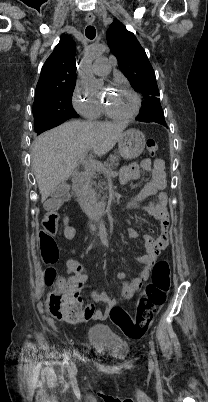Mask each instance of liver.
I'll use <instances>...</instances> for the list:
<instances>
[{"instance_id": "6515ba94", "label": "liver", "mask_w": 208, "mask_h": 402, "mask_svg": "<svg viewBox=\"0 0 208 402\" xmlns=\"http://www.w3.org/2000/svg\"><path fill=\"white\" fill-rule=\"evenodd\" d=\"M125 128L127 124L74 120L35 138L32 168L41 202L72 176L80 154L93 150L97 156H104L114 148Z\"/></svg>"}]
</instances>
